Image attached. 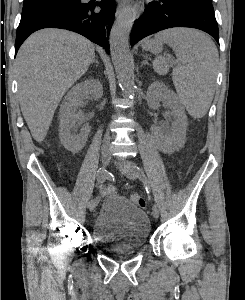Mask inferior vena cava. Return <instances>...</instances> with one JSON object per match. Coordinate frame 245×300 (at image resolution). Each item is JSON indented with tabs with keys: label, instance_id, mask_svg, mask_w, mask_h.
<instances>
[{
	"label": "inferior vena cava",
	"instance_id": "1",
	"mask_svg": "<svg viewBox=\"0 0 245 300\" xmlns=\"http://www.w3.org/2000/svg\"><path fill=\"white\" fill-rule=\"evenodd\" d=\"M108 143H109V136H108V134H107L106 137H105V144H104V146H103V150H106V149H107Z\"/></svg>",
	"mask_w": 245,
	"mask_h": 300
}]
</instances>
